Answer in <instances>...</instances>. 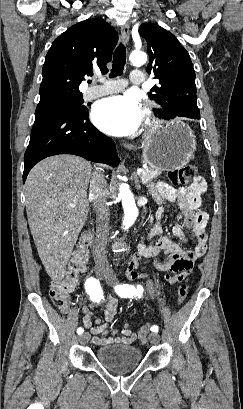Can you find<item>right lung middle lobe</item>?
Here are the masks:
<instances>
[{
	"instance_id": "right-lung-middle-lobe-1",
	"label": "right lung middle lobe",
	"mask_w": 243,
	"mask_h": 409,
	"mask_svg": "<svg viewBox=\"0 0 243 409\" xmlns=\"http://www.w3.org/2000/svg\"><path fill=\"white\" fill-rule=\"evenodd\" d=\"M82 95L68 98H54L49 100L40 101L36 110L42 108L56 109L64 112H88V109L82 105Z\"/></svg>"
}]
</instances>
